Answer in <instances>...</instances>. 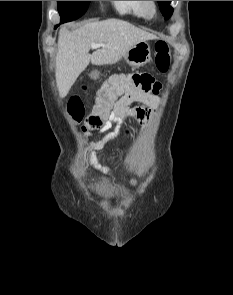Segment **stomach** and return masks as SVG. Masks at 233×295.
Returning <instances> with one entry per match:
<instances>
[{
	"label": "stomach",
	"instance_id": "0dacf381",
	"mask_svg": "<svg viewBox=\"0 0 233 295\" xmlns=\"http://www.w3.org/2000/svg\"><path fill=\"white\" fill-rule=\"evenodd\" d=\"M124 60L133 67H142L151 60V48L147 41H141L133 45L123 56ZM91 78L97 79V71L91 73Z\"/></svg>",
	"mask_w": 233,
	"mask_h": 295
}]
</instances>
